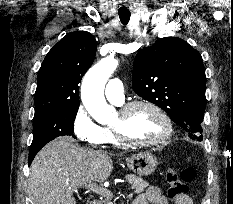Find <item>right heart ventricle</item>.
Wrapping results in <instances>:
<instances>
[{
  "label": "right heart ventricle",
  "instance_id": "obj_1",
  "mask_svg": "<svg viewBox=\"0 0 233 204\" xmlns=\"http://www.w3.org/2000/svg\"><path fill=\"white\" fill-rule=\"evenodd\" d=\"M103 131H104V134H105V143H110V144H114V145L119 144V142L117 141V139L114 136V134H113L110 127H104Z\"/></svg>",
  "mask_w": 233,
  "mask_h": 204
}]
</instances>
